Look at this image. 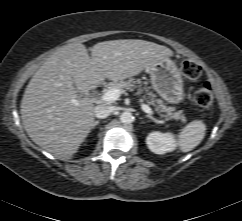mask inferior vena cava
<instances>
[{
  "mask_svg": "<svg viewBox=\"0 0 242 221\" xmlns=\"http://www.w3.org/2000/svg\"><path fill=\"white\" fill-rule=\"evenodd\" d=\"M113 107L106 105H98L94 108L95 117L99 119H104L108 117L113 112Z\"/></svg>",
  "mask_w": 242,
  "mask_h": 221,
  "instance_id": "1",
  "label": "inferior vena cava"
}]
</instances>
